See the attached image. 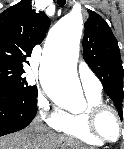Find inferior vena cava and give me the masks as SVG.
Listing matches in <instances>:
<instances>
[{"mask_svg": "<svg viewBox=\"0 0 124 149\" xmlns=\"http://www.w3.org/2000/svg\"><path fill=\"white\" fill-rule=\"evenodd\" d=\"M32 128H39V126L37 124H34L33 126H31Z\"/></svg>", "mask_w": 124, "mask_h": 149, "instance_id": "602c4592", "label": "inferior vena cava"}]
</instances>
